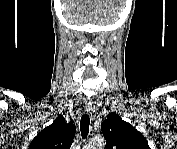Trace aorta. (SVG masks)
<instances>
[{"label":"aorta","instance_id":"aorta-1","mask_svg":"<svg viewBox=\"0 0 177 149\" xmlns=\"http://www.w3.org/2000/svg\"><path fill=\"white\" fill-rule=\"evenodd\" d=\"M104 145H105L104 138L95 137L89 142L86 149H103Z\"/></svg>","mask_w":177,"mask_h":149}]
</instances>
